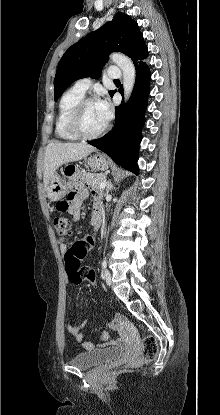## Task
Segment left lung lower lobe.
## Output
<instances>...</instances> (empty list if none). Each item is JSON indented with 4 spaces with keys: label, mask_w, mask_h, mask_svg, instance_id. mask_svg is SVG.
<instances>
[{
    "label": "left lung lower lobe",
    "mask_w": 220,
    "mask_h": 415,
    "mask_svg": "<svg viewBox=\"0 0 220 415\" xmlns=\"http://www.w3.org/2000/svg\"><path fill=\"white\" fill-rule=\"evenodd\" d=\"M136 81L128 104L116 107L115 125L111 132L88 142L105 152L117 164L138 175V151L145 123V110L150 90L151 73L144 62L135 64ZM123 94V90H119ZM115 91L110 94L113 96Z\"/></svg>",
    "instance_id": "1"
}]
</instances>
